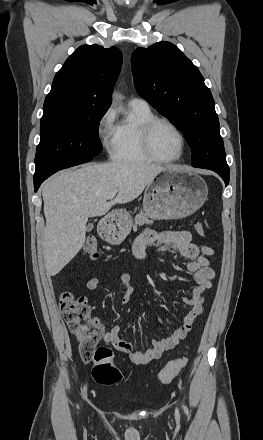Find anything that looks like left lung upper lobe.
<instances>
[{"instance_id":"1","label":"left lung upper lobe","mask_w":263,"mask_h":440,"mask_svg":"<svg viewBox=\"0 0 263 440\" xmlns=\"http://www.w3.org/2000/svg\"><path fill=\"white\" fill-rule=\"evenodd\" d=\"M131 65L137 92L184 133L192 166L228 171L214 100L198 68L170 42L137 48Z\"/></svg>"}]
</instances>
